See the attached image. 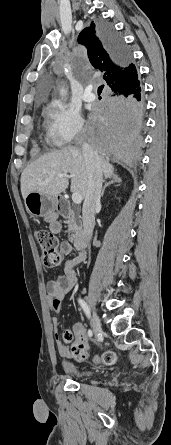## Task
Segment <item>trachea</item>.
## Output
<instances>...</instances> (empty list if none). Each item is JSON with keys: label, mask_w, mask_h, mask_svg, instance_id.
<instances>
[{"label": "trachea", "mask_w": 171, "mask_h": 445, "mask_svg": "<svg viewBox=\"0 0 171 445\" xmlns=\"http://www.w3.org/2000/svg\"><path fill=\"white\" fill-rule=\"evenodd\" d=\"M103 88H104V85H101V86L98 88V94H99V95L102 93Z\"/></svg>", "instance_id": "obj_1"}]
</instances>
